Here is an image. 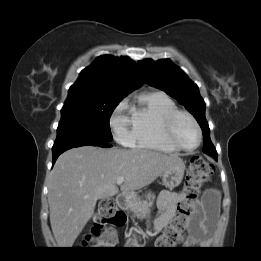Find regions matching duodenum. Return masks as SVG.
I'll use <instances>...</instances> for the list:
<instances>
[{"instance_id": "410a0bca", "label": "duodenum", "mask_w": 261, "mask_h": 261, "mask_svg": "<svg viewBox=\"0 0 261 261\" xmlns=\"http://www.w3.org/2000/svg\"><path fill=\"white\" fill-rule=\"evenodd\" d=\"M127 201H128V198L125 194H120L118 195L117 199H116V204L117 206L121 209V210H124L127 206ZM120 211V210H119ZM123 213V211H120ZM125 224V223H124ZM123 224V225H124ZM122 225V226H123ZM121 227V226H120Z\"/></svg>"}]
</instances>
